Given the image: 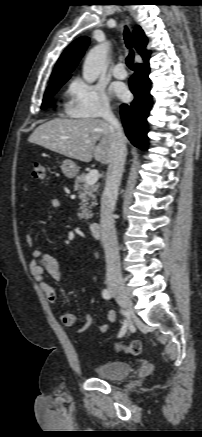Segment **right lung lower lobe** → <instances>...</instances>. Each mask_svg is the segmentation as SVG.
<instances>
[{"mask_svg":"<svg viewBox=\"0 0 202 437\" xmlns=\"http://www.w3.org/2000/svg\"><path fill=\"white\" fill-rule=\"evenodd\" d=\"M149 58L135 65V73L129 80L131 92L135 98L130 104L120 106L121 118L126 136L131 143L146 151L148 147L147 117L151 108Z\"/></svg>","mask_w":202,"mask_h":437,"instance_id":"right-lung-lower-lobe-1","label":"right lung lower lobe"}]
</instances>
